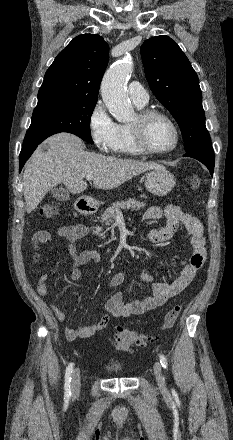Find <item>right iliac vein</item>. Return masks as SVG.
I'll return each mask as SVG.
<instances>
[{"label":"right iliac vein","mask_w":233,"mask_h":440,"mask_svg":"<svg viewBox=\"0 0 233 440\" xmlns=\"http://www.w3.org/2000/svg\"><path fill=\"white\" fill-rule=\"evenodd\" d=\"M80 386H81L80 370H79V368H76L73 372V377H72L73 396H77L79 394Z\"/></svg>","instance_id":"right-iliac-vein-1"}]
</instances>
